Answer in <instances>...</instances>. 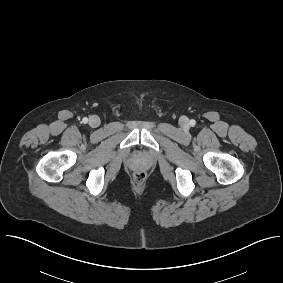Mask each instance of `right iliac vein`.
I'll return each mask as SVG.
<instances>
[{
	"label": "right iliac vein",
	"instance_id": "1",
	"mask_svg": "<svg viewBox=\"0 0 283 283\" xmlns=\"http://www.w3.org/2000/svg\"><path fill=\"white\" fill-rule=\"evenodd\" d=\"M89 125H90V127H92V128L98 127V126L100 125V119H99V117H97V116H91V117L89 118Z\"/></svg>",
	"mask_w": 283,
	"mask_h": 283
}]
</instances>
